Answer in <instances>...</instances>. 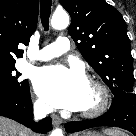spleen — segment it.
Wrapping results in <instances>:
<instances>
[{"label":"spleen","mask_w":136,"mask_h":136,"mask_svg":"<svg viewBox=\"0 0 136 136\" xmlns=\"http://www.w3.org/2000/svg\"><path fill=\"white\" fill-rule=\"evenodd\" d=\"M105 133H107V136H126L124 133H121L120 131L111 129L105 130Z\"/></svg>","instance_id":"spleen-1"}]
</instances>
